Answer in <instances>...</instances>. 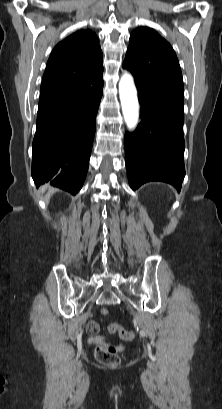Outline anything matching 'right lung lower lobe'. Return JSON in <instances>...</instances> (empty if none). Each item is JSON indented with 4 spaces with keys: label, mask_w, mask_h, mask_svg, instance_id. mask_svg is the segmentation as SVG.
Wrapping results in <instances>:
<instances>
[{
    "label": "right lung lower lobe",
    "mask_w": 222,
    "mask_h": 409,
    "mask_svg": "<svg viewBox=\"0 0 222 409\" xmlns=\"http://www.w3.org/2000/svg\"><path fill=\"white\" fill-rule=\"evenodd\" d=\"M102 73L80 93L39 103L32 177L75 195L85 180L102 97Z\"/></svg>",
    "instance_id": "98d812e1"
}]
</instances>
